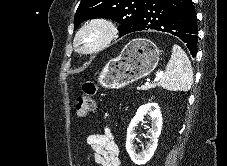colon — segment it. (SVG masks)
Returning <instances> with one entry per match:
<instances>
[{
	"mask_svg": "<svg viewBox=\"0 0 227 166\" xmlns=\"http://www.w3.org/2000/svg\"><path fill=\"white\" fill-rule=\"evenodd\" d=\"M97 85L93 82H86L82 86L81 93L76 99V113L83 117L95 110Z\"/></svg>",
	"mask_w": 227,
	"mask_h": 166,
	"instance_id": "1",
	"label": "colon"
}]
</instances>
